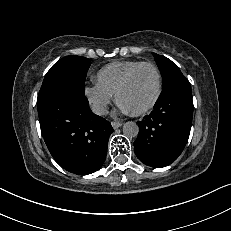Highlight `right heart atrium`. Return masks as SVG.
<instances>
[{
	"instance_id": "d8ad5b80",
	"label": "right heart atrium",
	"mask_w": 231,
	"mask_h": 231,
	"mask_svg": "<svg viewBox=\"0 0 231 231\" xmlns=\"http://www.w3.org/2000/svg\"><path fill=\"white\" fill-rule=\"evenodd\" d=\"M84 95L91 105L93 111L98 115H104L112 101L113 95L97 83L87 85L84 88Z\"/></svg>"
}]
</instances>
